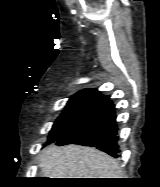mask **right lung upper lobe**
<instances>
[{
	"instance_id": "1",
	"label": "right lung upper lobe",
	"mask_w": 160,
	"mask_h": 187,
	"mask_svg": "<svg viewBox=\"0 0 160 187\" xmlns=\"http://www.w3.org/2000/svg\"><path fill=\"white\" fill-rule=\"evenodd\" d=\"M108 96H103L98 90L84 89L73 95L67 105H95L106 101Z\"/></svg>"
}]
</instances>
